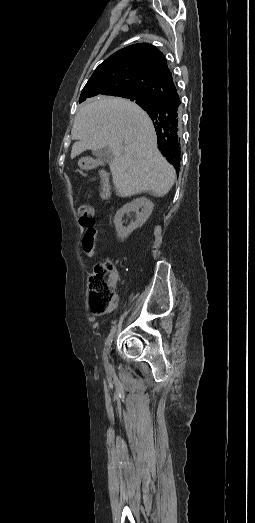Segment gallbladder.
Returning a JSON list of instances; mask_svg holds the SVG:
<instances>
[{
    "instance_id": "1",
    "label": "gallbladder",
    "mask_w": 255,
    "mask_h": 523,
    "mask_svg": "<svg viewBox=\"0 0 255 523\" xmlns=\"http://www.w3.org/2000/svg\"><path fill=\"white\" fill-rule=\"evenodd\" d=\"M92 154L100 158V160H103V162H106V164H111L112 160H114V156L108 146L101 148V150H92Z\"/></svg>"
}]
</instances>
